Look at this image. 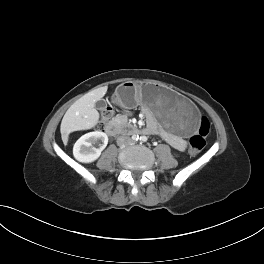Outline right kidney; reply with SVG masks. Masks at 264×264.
I'll return each instance as SVG.
<instances>
[{
    "label": "right kidney",
    "mask_w": 264,
    "mask_h": 264,
    "mask_svg": "<svg viewBox=\"0 0 264 264\" xmlns=\"http://www.w3.org/2000/svg\"><path fill=\"white\" fill-rule=\"evenodd\" d=\"M98 141L103 144L100 148L92 147ZM108 144V136L101 131L89 132L81 136L73 147V155L76 160L82 163H91L99 158L101 151Z\"/></svg>",
    "instance_id": "obj_1"
}]
</instances>
